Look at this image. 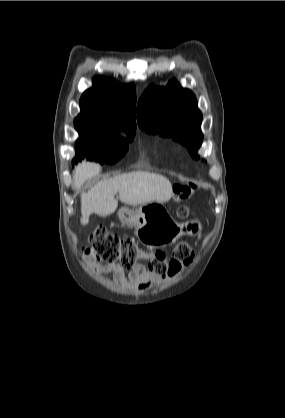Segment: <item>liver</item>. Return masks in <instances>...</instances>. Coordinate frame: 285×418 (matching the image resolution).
<instances>
[{"mask_svg": "<svg viewBox=\"0 0 285 418\" xmlns=\"http://www.w3.org/2000/svg\"><path fill=\"white\" fill-rule=\"evenodd\" d=\"M100 171L101 166L92 162L78 164L73 172L74 189L79 192L85 181ZM117 193L125 204L145 205L154 201L167 202L173 190L166 177L140 170L101 180L87 192L81 193V221L88 219L92 213L102 217L114 213L118 207L115 199Z\"/></svg>", "mask_w": 285, "mask_h": 418, "instance_id": "6515ba94", "label": "liver"}]
</instances>
